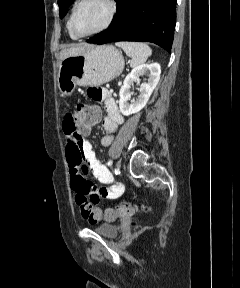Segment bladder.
Masks as SVG:
<instances>
[{
	"label": "bladder",
	"mask_w": 240,
	"mask_h": 288,
	"mask_svg": "<svg viewBox=\"0 0 240 288\" xmlns=\"http://www.w3.org/2000/svg\"><path fill=\"white\" fill-rule=\"evenodd\" d=\"M95 232L105 238H114L117 236L119 228L117 225L104 223L94 228Z\"/></svg>",
	"instance_id": "obj_1"
}]
</instances>
